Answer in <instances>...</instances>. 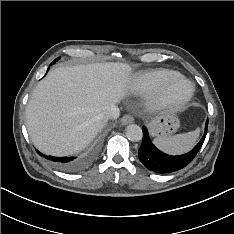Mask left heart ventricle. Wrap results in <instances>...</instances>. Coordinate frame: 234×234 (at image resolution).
Returning <instances> with one entry per match:
<instances>
[{
	"label": "left heart ventricle",
	"instance_id": "obj_1",
	"mask_svg": "<svg viewBox=\"0 0 234 234\" xmlns=\"http://www.w3.org/2000/svg\"><path fill=\"white\" fill-rule=\"evenodd\" d=\"M188 90V85L185 83H180L174 88V93L182 94Z\"/></svg>",
	"mask_w": 234,
	"mask_h": 234
}]
</instances>
